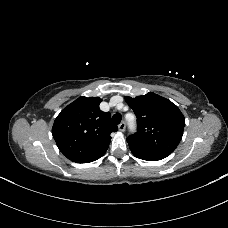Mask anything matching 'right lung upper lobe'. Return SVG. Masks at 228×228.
Masks as SVG:
<instances>
[{
	"instance_id": "obj_1",
	"label": "right lung upper lobe",
	"mask_w": 228,
	"mask_h": 228,
	"mask_svg": "<svg viewBox=\"0 0 228 228\" xmlns=\"http://www.w3.org/2000/svg\"><path fill=\"white\" fill-rule=\"evenodd\" d=\"M101 101L99 97H80L55 119L53 138L69 160L80 162L108 149L110 134L118 128L110 113L100 110Z\"/></svg>"
}]
</instances>
